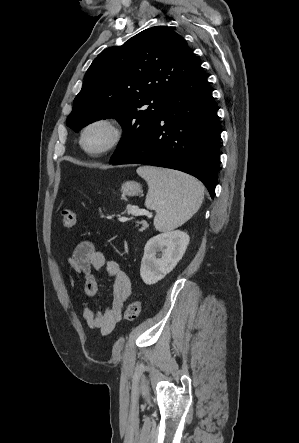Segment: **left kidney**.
<instances>
[{
  "label": "left kidney",
  "instance_id": "left-kidney-1",
  "mask_svg": "<svg viewBox=\"0 0 299 443\" xmlns=\"http://www.w3.org/2000/svg\"><path fill=\"white\" fill-rule=\"evenodd\" d=\"M190 237L180 230L167 231L150 238L141 261L140 275L151 285L170 273L183 257Z\"/></svg>",
  "mask_w": 299,
  "mask_h": 443
}]
</instances>
